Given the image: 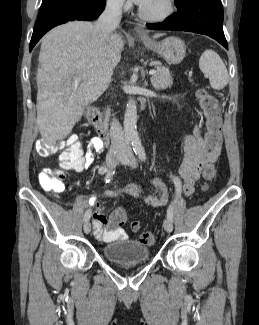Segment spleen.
Instances as JSON below:
<instances>
[{
	"mask_svg": "<svg viewBox=\"0 0 259 325\" xmlns=\"http://www.w3.org/2000/svg\"><path fill=\"white\" fill-rule=\"evenodd\" d=\"M199 67L209 77L213 89H223L229 81L227 68L220 56L213 50L204 51L199 60Z\"/></svg>",
	"mask_w": 259,
	"mask_h": 325,
	"instance_id": "obj_1",
	"label": "spleen"
}]
</instances>
